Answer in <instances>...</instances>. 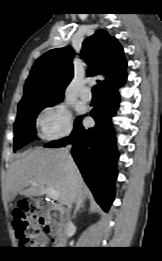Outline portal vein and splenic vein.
Returning <instances> with one entry per match:
<instances>
[{
    "label": "portal vein and splenic vein",
    "instance_id": "18ae733b",
    "mask_svg": "<svg viewBox=\"0 0 162 261\" xmlns=\"http://www.w3.org/2000/svg\"><path fill=\"white\" fill-rule=\"evenodd\" d=\"M30 183L32 186L36 185L35 181H31ZM46 194L53 200H58L60 195L57 190H54L52 187L49 186L46 187Z\"/></svg>",
    "mask_w": 162,
    "mask_h": 261
}]
</instances>
